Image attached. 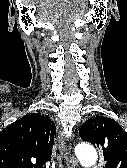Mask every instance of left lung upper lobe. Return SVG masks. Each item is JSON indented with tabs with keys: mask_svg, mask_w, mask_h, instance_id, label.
<instances>
[{
	"mask_svg": "<svg viewBox=\"0 0 127 168\" xmlns=\"http://www.w3.org/2000/svg\"><path fill=\"white\" fill-rule=\"evenodd\" d=\"M79 136L101 150L103 168H127V133L115 120L103 116L88 119Z\"/></svg>",
	"mask_w": 127,
	"mask_h": 168,
	"instance_id": "obj_1",
	"label": "left lung upper lobe"
}]
</instances>
